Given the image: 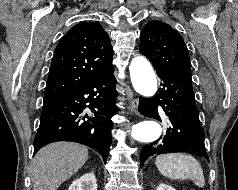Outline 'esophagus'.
<instances>
[{"instance_id":"34e87169","label":"esophagus","mask_w":238,"mask_h":190,"mask_svg":"<svg viewBox=\"0 0 238 190\" xmlns=\"http://www.w3.org/2000/svg\"><path fill=\"white\" fill-rule=\"evenodd\" d=\"M138 105H139V102H138V99H132L129 103V109L130 111L134 112V113H137L138 112Z\"/></svg>"}]
</instances>
